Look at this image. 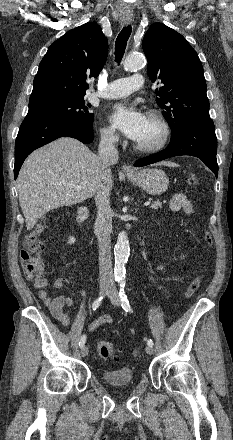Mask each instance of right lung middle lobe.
Instances as JSON below:
<instances>
[{
    "instance_id": "obj_1",
    "label": "right lung middle lobe",
    "mask_w": 233,
    "mask_h": 440,
    "mask_svg": "<svg viewBox=\"0 0 233 440\" xmlns=\"http://www.w3.org/2000/svg\"><path fill=\"white\" fill-rule=\"evenodd\" d=\"M90 104L85 105L81 98H55L29 104L28 114H44L75 121L82 126L93 129V114L87 111Z\"/></svg>"
}]
</instances>
